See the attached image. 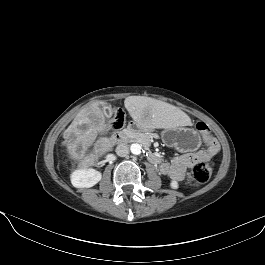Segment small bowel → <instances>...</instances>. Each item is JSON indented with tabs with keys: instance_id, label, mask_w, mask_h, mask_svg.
I'll return each instance as SVG.
<instances>
[{
	"instance_id": "c3829d8e",
	"label": "small bowel",
	"mask_w": 265,
	"mask_h": 265,
	"mask_svg": "<svg viewBox=\"0 0 265 265\" xmlns=\"http://www.w3.org/2000/svg\"><path fill=\"white\" fill-rule=\"evenodd\" d=\"M206 143V149L180 154L170 162L162 163L159 167L161 174L169 176L175 181H182L188 168L210 159L220 151V146L216 139L211 137Z\"/></svg>"
}]
</instances>
